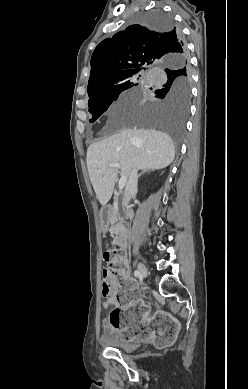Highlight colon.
Here are the masks:
<instances>
[{
	"label": "colon",
	"instance_id": "colon-1",
	"mask_svg": "<svg viewBox=\"0 0 248 389\" xmlns=\"http://www.w3.org/2000/svg\"><path fill=\"white\" fill-rule=\"evenodd\" d=\"M104 260L103 295L118 301L110 313V325L121 331L125 344H135V337L138 343L154 337L156 350H165L168 344L174 343L179 322L171 320V311H155L150 316L151 322H144L149 317V306L142 301L135 278L127 276L123 254L111 250L104 253Z\"/></svg>",
	"mask_w": 248,
	"mask_h": 389
}]
</instances>
